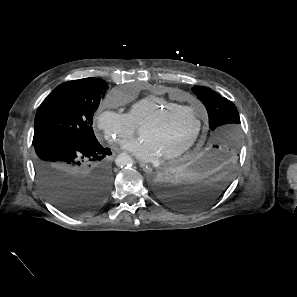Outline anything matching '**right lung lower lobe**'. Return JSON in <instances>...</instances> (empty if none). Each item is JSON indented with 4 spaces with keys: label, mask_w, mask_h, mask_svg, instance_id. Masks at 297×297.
I'll return each mask as SVG.
<instances>
[{
    "label": "right lung lower lobe",
    "mask_w": 297,
    "mask_h": 297,
    "mask_svg": "<svg viewBox=\"0 0 297 297\" xmlns=\"http://www.w3.org/2000/svg\"><path fill=\"white\" fill-rule=\"evenodd\" d=\"M34 165L48 199L69 215L96 211L108 197L112 174L103 161L109 148L53 136L37 140Z\"/></svg>",
    "instance_id": "right-lung-lower-lobe-1"
}]
</instances>
